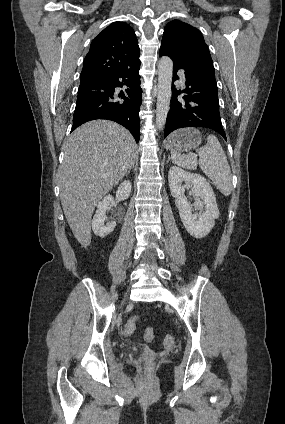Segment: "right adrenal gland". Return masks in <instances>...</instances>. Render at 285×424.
Returning a JSON list of instances; mask_svg holds the SVG:
<instances>
[{"label": "right adrenal gland", "mask_w": 285, "mask_h": 424, "mask_svg": "<svg viewBox=\"0 0 285 424\" xmlns=\"http://www.w3.org/2000/svg\"><path fill=\"white\" fill-rule=\"evenodd\" d=\"M134 164H135V159L133 158L131 165L129 166L128 170L126 171V174H125L126 176L130 173V170L132 168H134Z\"/></svg>", "instance_id": "1"}]
</instances>
